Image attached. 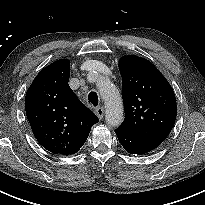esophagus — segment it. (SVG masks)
<instances>
[{
	"mask_svg": "<svg viewBox=\"0 0 205 205\" xmlns=\"http://www.w3.org/2000/svg\"><path fill=\"white\" fill-rule=\"evenodd\" d=\"M95 113L98 116L99 119H102L104 117V108L103 107H97L95 109Z\"/></svg>",
	"mask_w": 205,
	"mask_h": 205,
	"instance_id": "1",
	"label": "esophagus"
}]
</instances>
